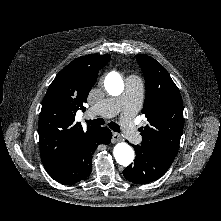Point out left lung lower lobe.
Listing matches in <instances>:
<instances>
[{"mask_svg": "<svg viewBox=\"0 0 221 221\" xmlns=\"http://www.w3.org/2000/svg\"><path fill=\"white\" fill-rule=\"evenodd\" d=\"M136 159L123 171L124 177L133 183L146 184L160 178L171 166L176 154L171 152L151 153L140 145H132Z\"/></svg>", "mask_w": 221, "mask_h": 221, "instance_id": "1", "label": "left lung lower lobe"}]
</instances>
